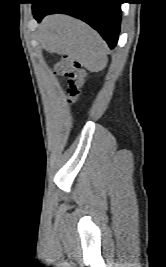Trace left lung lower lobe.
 Wrapping results in <instances>:
<instances>
[{
    "label": "left lung lower lobe",
    "mask_w": 166,
    "mask_h": 267,
    "mask_svg": "<svg viewBox=\"0 0 166 267\" xmlns=\"http://www.w3.org/2000/svg\"><path fill=\"white\" fill-rule=\"evenodd\" d=\"M38 21L51 13L76 16L97 30L113 49L118 40L123 0H32Z\"/></svg>",
    "instance_id": "0a47b994"
}]
</instances>
